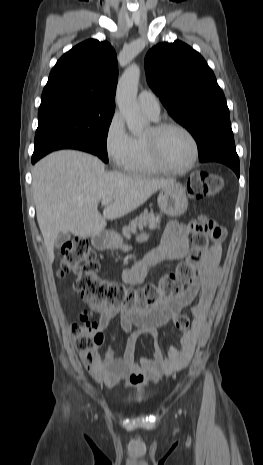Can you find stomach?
Masks as SVG:
<instances>
[{"label":"stomach","mask_w":263,"mask_h":465,"mask_svg":"<svg viewBox=\"0 0 263 465\" xmlns=\"http://www.w3.org/2000/svg\"><path fill=\"white\" fill-rule=\"evenodd\" d=\"M160 209L168 216L178 217L183 215L188 208V198L185 188L174 183L161 189L158 199ZM148 239V235L142 233L137 237L139 242H144ZM93 242L99 248L105 249H121L124 252L131 250V247L124 245L122 240L111 234H99L93 238Z\"/></svg>","instance_id":"0dacf381"}]
</instances>
